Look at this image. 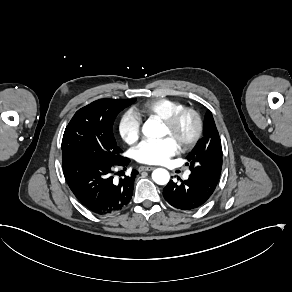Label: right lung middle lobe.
Here are the masks:
<instances>
[{
	"label": "right lung middle lobe",
	"mask_w": 292,
	"mask_h": 292,
	"mask_svg": "<svg viewBox=\"0 0 292 292\" xmlns=\"http://www.w3.org/2000/svg\"><path fill=\"white\" fill-rule=\"evenodd\" d=\"M135 99H100L78 110L67 125L62 139V157L81 155L106 162L122 159V150L113 135V123Z\"/></svg>",
	"instance_id": "dd1d6c3e"
}]
</instances>
